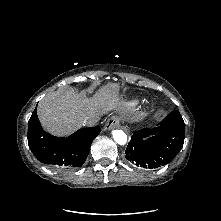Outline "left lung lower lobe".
<instances>
[{"label": "left lung lower lobe", "instance_id": "1", "mask_svg": "<svg viewBox=\"0 0 221 221\" xmlns=\"http://www.w3.org/2000/svg\"><path fill=\"white\" fill-rule=\"evenodd\" d=\"M185 123L178 111H172L159 126L134 131L125 154L128 160L143 168H157L179 153L184 143Z\"/></svg>", "mask_w": 221, "mask_h": 221}]
</instances>
